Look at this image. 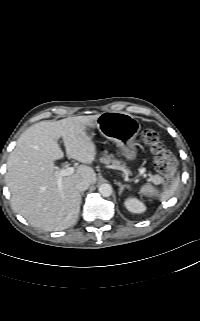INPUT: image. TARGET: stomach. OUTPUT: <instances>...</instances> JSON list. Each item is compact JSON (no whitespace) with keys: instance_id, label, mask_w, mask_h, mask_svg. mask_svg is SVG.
Masks as SVG:
<instances>
[{"instance_id":"0dacf381","label":"stomach","mask_w":200,"mask_h":321,"mask_svg":"<svg viewBox=\"0 0 200 321\" xmlns=\"http://www.w3.org/2000/svg\"><path fill=\"white\" fill-rule=\"evenodd\" d=\"M96 128L104 137L116 142L120 153L128 160L135 158V138L140 125L131 115L124 112H104L87 126L88 134L92 136Z\"/></svg>"}]
</instances>
